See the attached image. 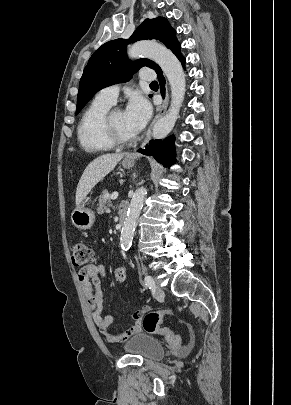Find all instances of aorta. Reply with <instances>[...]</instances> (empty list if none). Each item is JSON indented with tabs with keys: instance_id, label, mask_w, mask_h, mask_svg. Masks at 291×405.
Wrapping results in <instances>:
<instances>
[{
	"instance_id": "762f6f07",
	"label": "aorta",
	"mask_w": 291,
	"mask_h": 405,
	"mask_svg": "<svg viewBox=\"0 0 291 405\" xmlns=\"http://www.w3.org/2000/svg\"><path fill=\"white\" fill-rule=\"evenodd\" d=\"M127 54L131 59H135L139 56L152 59L160 66L169 81L171 88L170 108L167 113L155 123L152 131L154 139H162L173 129L184 100L186 81L182 65L169 49L156 41L144 40L136 42L128 49ZM145 196L146 189L140 187L135 191L131 199L120 237L123 250H128L131 247L136 221L143 207Z\"/></svg>"
}]
</instances>
